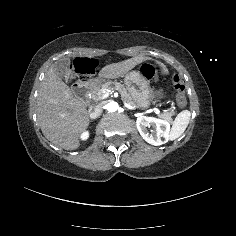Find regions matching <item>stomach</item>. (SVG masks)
<instances>
[{
    "instance_id": "obj_1",
    "label": "stomach",
    "mask_w": 236,
    "mask_h": 236,
    "mask_svg": "<svg viewBox=\"0 0 236 236\" xmlns=\"http://www.w3.org/2000/svg\"><path fill=\"white\" fill-rule=\"evenodd\" d=\"M127 91L139 107H146L150 102L153 91L150 82L139 72L132 70L124 74Z\"/></svg>"
}]
</instances>
